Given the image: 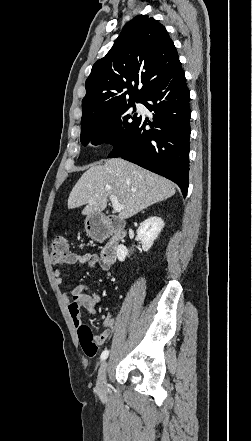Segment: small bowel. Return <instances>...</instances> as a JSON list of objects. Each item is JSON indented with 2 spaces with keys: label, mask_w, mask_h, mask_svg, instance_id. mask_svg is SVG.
Here are the masks:
<instances>
[{
  "label": "small bowel",
  "mask_w": 252,
  "mask_h": 441,
  "mask_svg": "<svg viewBox=\"0 0 252 441\" xmlns=\"http://www.w3.org/2000/svg\"><path fill=\"white\" fill-rule=\"evenodd\" d=\"M76 263H85L91 269H99L106 271L110 265L104 262L102 257L97 253L87 252L82 254L80 252L69 253L61 262V266L73 265ZM55 282L58 286L63 283L62 271L57 268L54 271ZM62 298L67 301L68 311L74 325L78 328L81 322L82 311L84 310L87 315L92 316L96 314V307L101 303L102 296L90 290L85 284H79L71 290H65L62 292ZM103 331L95 337L97 343H103L109 340L111 334L116 326V317L110 313L104 320Z\"/></svg>",
  "instance_id": "1"
}]
</instances>
